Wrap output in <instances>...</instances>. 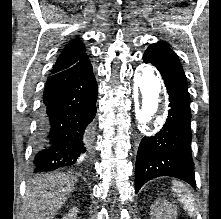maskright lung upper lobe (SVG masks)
<instances>
[{"label": "right lung upper lobe", "mask_w": 221, "mask_h": 219, "mask_svg": "<svg viewBox=\"0 0 221 219\" xmlns=\"http://www.w3.org/2000/svg\"><path fill=\"white\" fill-rule=\"evenodd\" d=\"M86 56L84 44L80 40L74 39L61 52L52 73L68 69Z\"/></svg>", "instance_id": "1"}]
</instances>
